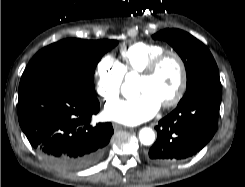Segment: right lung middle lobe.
Returning <instances> with one entry per match:
<instances>
[{"mask_svg": "<svg viewBox=\"0 0 245 187\" xmlns=\"http://www.w3.org/2000/svg\"><path fill=\"white\" fill-rule=\"evenodd\" d=\"M115 40L65 39L40 50L21 77L19 91L40 83L70 86L95 96L94 71Z\"/></svg>", "mask_w": 245, "mask_h": 187, "instance_id": "obj_1", "label": "right lung middle lobe"}]
</instances>
